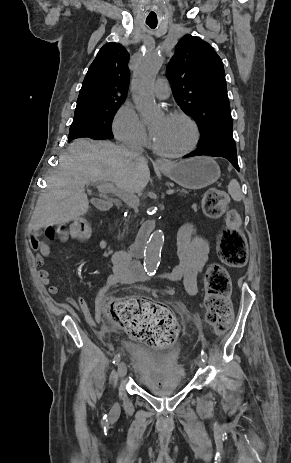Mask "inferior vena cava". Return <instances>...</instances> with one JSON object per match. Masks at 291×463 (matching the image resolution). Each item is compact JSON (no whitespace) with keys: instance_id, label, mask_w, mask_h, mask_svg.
I'll list each match as a JSON object with an SVG mask.
<instances>
[{"instance_id":"inferior-vena-cava-1","label":"inferior vena cava","mask_w":291,"mask_h":463,"mask_svg":"<svg viewBox=\"0 0 291 463\" xmlns=\"http://www.w3.org/2000/svg\"><path fill=\"white\" fill-rule=\"evenodd\" d=\"M131 155H140L143 152V148L140 145L130 146L128 149Z\"/></svg>"}]
</instances>
